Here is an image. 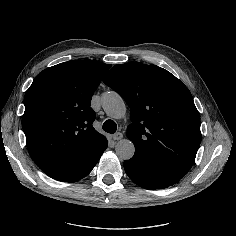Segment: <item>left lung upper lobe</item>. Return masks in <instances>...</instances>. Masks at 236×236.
Here are the masks:
<instances>
[{
	"mask_svg": "<svg viewBox=\"0 0 236 236\" xmlns=\"http://www.w3.org/2000/svg\"><path fill=\"white\" fill-rule=\"evenodd\" d=\"M103 82L118 92L131 112L127 136L135 153L183 177L201 142L200 116L188 88L156 65H115Z\"/></svg>",
	"mask_w": 236,
	"mask_h": 236,
	"instance_id": "1",
	"label": "left lung upper lobe"
}]
</instances>
